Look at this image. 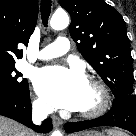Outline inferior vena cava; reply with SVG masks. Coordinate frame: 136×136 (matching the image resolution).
I'll return each instance as SVG.
<instances>
[{"instance_id":"1","label":"inferior vena cava","mask_w":136,"mask_h":136,"mask_svg":"<svg viewBox=\"0 0 136 136\" xmlns=\"http://www.w3.org/2000/svg\"><path fill=\"white\" fill-rule=\"evenodd\" d=\"M52 112V107L44 103H35L32 107V120L35 124H40Z\"/></svg>"}]
</instances>
